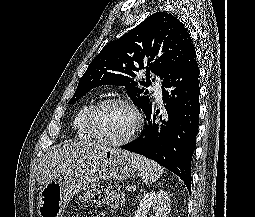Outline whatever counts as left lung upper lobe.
<instances>
[{
    "mask_svg": "<svg viewBox=\"0 0 255 217\" xmlns=\"http://www.w3.org/2000/svg\"><path fill=\"white\" fill-rule=\"evenodd\" d=\"M193 46L189 32L179 19L166 12H156L101 50L68 103L76 102L93 88L112 84L125 86L133 103L147 115L152 102L139 85L149 86L150 72L163 79ZM145 68L146 82L136 80L137 72Z\"/></svg>",
    "mask_w": 255,
    "mask_h": 217,
    "instance_id": "obj_1",
    "label": "left lung upper lobe"
}]
</instances>
